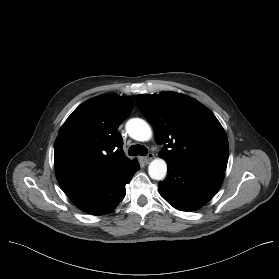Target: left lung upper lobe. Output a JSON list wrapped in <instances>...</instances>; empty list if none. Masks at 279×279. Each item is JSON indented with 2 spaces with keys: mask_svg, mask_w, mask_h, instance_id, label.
<instances>
[{
  "mask_svg": "<svg viewBox=\"0 0 279 279\" xmlns=\"http://www.w3.org/2000/svg\"><path fill=\"white\" fill-rule=\"evenodd\" d=\"M136 103L151 123L159 153L166 161L225 171L229 148L215 115L197 100L175 92L137 95Z\"/></svg>",
  "mask_w": 279,
  "mask_h": 279,
  "instance_id": "1",
  "label": "left lung upper lobe"
}]
</instances>
